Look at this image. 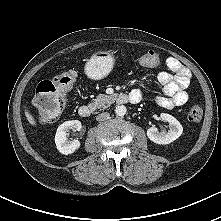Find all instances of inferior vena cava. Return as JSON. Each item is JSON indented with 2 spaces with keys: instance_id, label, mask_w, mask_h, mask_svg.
I'll list each match as a JSON object with an SVG mask.
<instances>
[{
  "instance_id": "inferior-vena-cava-1",
  "label": "inferior vena cava",
  "mask_w": 221,
  "mask_h": 221,
  "mask_svg": "<svg viewBox=\"0 0 221 221\" xmlns=\"http://www.w3.org/2000/svg\"><path fill=\"white\" fill-rule=\"evenodd\" d=\"M110 114L108 112H103L101 114H98L96 116V120L97 121H105L109 118Z\"/></svg>"
}]
</instances>
